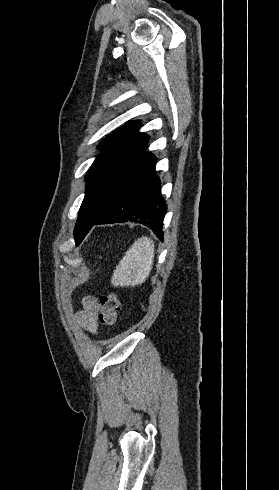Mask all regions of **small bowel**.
Masks as SVG:
<instances>
[{
	"label": "small bowel",
	"mask_w": 279,
	"mask_h": 490,
	"mask_svg": "<svg viewBox=\"0 0 279 490\" xmlns=\"http://www.w3.org/2000/svg\"><path fill=\"white\" fill-rule=\"evenodd\" d=\"M98 314L97 299L93 296H86L82 299V309L76 313V321L85 331L95 334L98 329Z\"/></svg>",
	"instance_id": "obj_1"
}]
</instances>
